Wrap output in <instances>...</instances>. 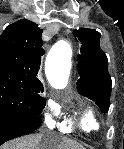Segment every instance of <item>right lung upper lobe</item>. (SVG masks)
Returning <instances> with one entry per match:
<instances>
[{"label":"right lung upper lobe","instance_id":"obj_1","mask_svg":"<svg viewBox=\"0 0 124 149\" xmlns=\"http://www.w3.org/2000/svg\"><path fill=\"white\" fill-rule=\"evenodd\" d=\"M42 30L22 19L9 25L0 36V71L18 76L31 86L43 87L40 62L44 54Z\"/></svg>","mask_w":124,"mask_h":149}]
</instances>
